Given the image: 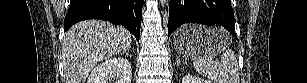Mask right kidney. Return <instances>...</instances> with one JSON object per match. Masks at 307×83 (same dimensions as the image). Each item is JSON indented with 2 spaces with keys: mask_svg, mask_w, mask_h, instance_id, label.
<instances>
[{
  "mask_svg": "<svg viewBox=\"0 0 307 83\" xmlns=\"http://www.w3.org/2000/svg\"><path fill=\"white\" fill-rule=\"evenodd\" d=\"M131 83L132 67L127 59L114 57L98 64L88 77L87 83Z\"/></svg>",
  "mask_w": 307,
  "mask_h": 83,
  "instance_id": "ca27d5eb",
  "label": "right kidney"
}]
</instances>
